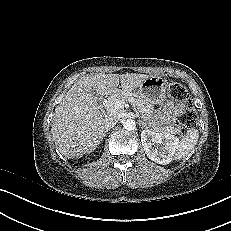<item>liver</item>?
<instances>
[{
	"label": "liver",
	"instance_id": "6515ba94",
	"mask_svg": "<svg viewBox=\"0 0 231 231\" xmlns=\"http://www.w3.org/2000/svg\"><path fill=\"white\" fill-rule=\"evenodd\" d=\"M149 75L96 74L81 77L56 107L51 133L58 150L66 158H79L93 152L102 141L106 116L101 113L93 90L100 95L117 96L138 88ZM122 89H118V86Z\"/></svg>",
	"mask_w": 231,
	"mask_h": 231
}]
</instances>
